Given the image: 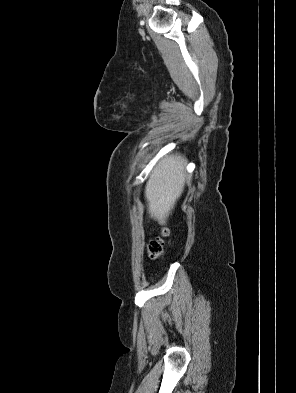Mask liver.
I'll use <instances>...</instances> for the list:
<instances>
[{
  "label": "liver",
  "mask_w": 296,
  "mask_h": 393,
  "mask_svg": "<svg viewBox=\"0 0 296 393\" xmlns=\"http://www.w3.org/2000/svg\"><path fill=\"white\" fill-rule=\"evenodd\" d=\"M187 160L180 155H169L152 170L145 188L150 217L165 225L176 201L184 190L187 179Z\"/></svg>",
  "instance_id": "liver-1"
}]
</instances>
